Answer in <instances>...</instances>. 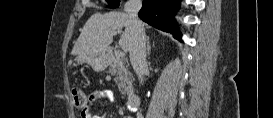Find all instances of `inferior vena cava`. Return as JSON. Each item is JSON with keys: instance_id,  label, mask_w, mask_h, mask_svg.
Segmentation results:
<instances>
[{"instance_id": "602c4592", "label": "inferior vena cava", "mask_w": 273, "mask_h": 118, "mask_svg": "<svg viewBox=\"0 0 273 118\" xmlns=\"http://www.w3.org/2000/svg\"><path fill=\"white\" fill-rule=\"evenodd\" d=\"M142 6L141 0H128L125 11L129 15L132 26V39L129 47L130 62L139 80L143 81V74L147 70L146 62V36L138 12Z\"/></svg>"}]
</instances>
